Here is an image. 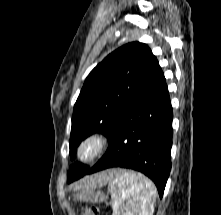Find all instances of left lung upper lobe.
Wrapping results in <instances>:
<instances>
[{
	"instance_id": "5c2ea615",
	"label": "left lung upper lobe",
	"mask_w": 221,
	"mask_h": 215,
	"mask_svg": "<svg viewBox=\"0 0 221 215\" xmlns=\"http://www.w3.org/2000/svg\"><path fill=\"white\" fill-rule=\"evenodd\" d=\"M156 62L146 44L132 42L109 54L90 72L74 105L69 142L72 159L80 142L91 134L111 137L121 110L143 86ZM89 169L72 165L68 181L83 177Z\"/></svg>"
}]
</instances>
